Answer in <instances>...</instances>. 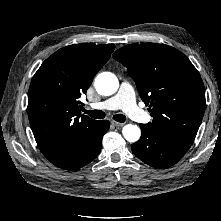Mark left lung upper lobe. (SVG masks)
I'll list each match as a JSON object with an SVG mask.
<instances>
[{
	"label": "left lung upper lobe",
	"instance_id": "5c2ea615",
	"mask_svg": "<svg viewBox=\"0 0 221 221\" xmlns=\"http://www.w3.org/2000/svg\"><path fill=\"white\" fill-rule=\"evenodd\" d=\"M113 58L127 67L154 126L195 138L205 110V89L190 60L177 49L155 43L129 44Z\"/></svg>",
	"mask_w": 221,
	"mask_h": 221
}]
</instances>
